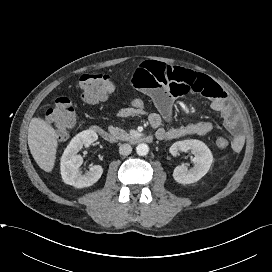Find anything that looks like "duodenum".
I'll return each mask as SVG.
<instances>
[{"mask_svg":"<svg viewBox=\"0 0 272 272\" xmlns=\"http://www.w3.org/2000/svg\"><path fill=\"white\" fill-rule=\"evenodd\" d=\"M91 130L95 133H97L102 139H104L107 142H115L117 140V137L108 131L106 128L101 126H92ZM153 136L149 134H140L138 136H134L129 138V141L131 143H150L153 140Z\"/></svg>","mask_w":272,"mask_h":272,"instance_id":"obj_1","label":"duodenum"}]
</instances>
